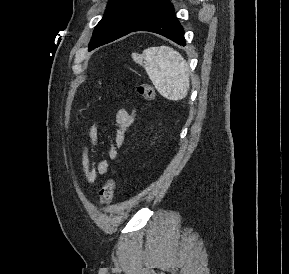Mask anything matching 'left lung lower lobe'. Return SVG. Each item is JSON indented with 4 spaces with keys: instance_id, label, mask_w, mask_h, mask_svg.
Returning a JSON list of instances; mask_svg holds the SVG:
<instances>
[{
    "instance_id": "1",
    "label": "left lung lower lobe",
    "mask_w": 289,
    "mask_h": 274,
    "mask_svg": "<svg viewBox=\"0 0 289 274\" xmlns=\"http://www.w3.org/2000/svg\"><path fill=\"white\" fill-rule=\"evenodd\" d=\"M134 31H149L165 36L166 38L185 46L183 27L180 25L172 3L168 0L154 11L147 19L139 24Z\"/></svg>"
}]
</instances>
